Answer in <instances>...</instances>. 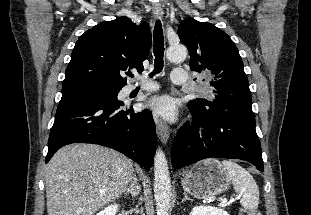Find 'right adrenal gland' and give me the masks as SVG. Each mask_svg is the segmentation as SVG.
<instances>
[{
	"label": "right adrenal gland",
	"mask_w": 311,
	"mask_h": 215,
	"mask_svg": "<svg viewBox=\"0 0 311 215\" xmlns=\"http://www.w3.org/2000/svg\"><path fill=\"white\" fill-rule=\"evenodd\" d=\"M139 193H140V186L138 184V180L136 178V175H134L132 177L130 186L124 191V195L127 196V195L131 194V196L133 198H135L136 196L139 195Z\"/></svg>",
	"instance_id": "obj_1"
}]
</instances>
